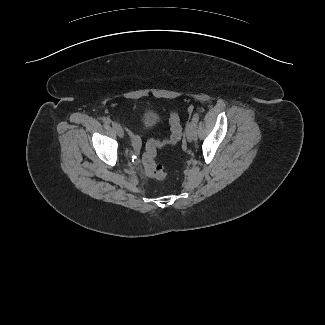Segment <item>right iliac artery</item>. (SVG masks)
<instances>
[{
	"mask_svg": "<svg viewBox=\"0 0 325 325\" xmlns=\"http://www.w3.org/2000/svg\"><path fill=\"white\" fill-rule=\"evenodd\" d=\"M102 121H103L104 123H106V124H110V123H111V120H110V118H108V117H103V118H102Z\"/></svg>",
	"mask_w": 325,
	"mask_h": 325,
	"instance_id": "right-iliac-artery-1",
	"label": "right iliac artery"
}]
</instances>
